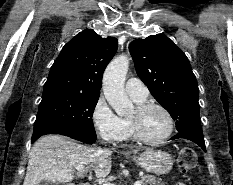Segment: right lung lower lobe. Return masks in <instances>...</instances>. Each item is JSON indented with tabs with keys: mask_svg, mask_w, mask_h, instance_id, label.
I'll return each mask as SVG.
<instances>
[{
	"mask_svg": "<svg viewBox=\"0 0 233 185\" xmlns=\"http://www.w3.org/2000/svg\"><path fill=\"white\" fill-rule=\"evenodd\" d=\"M71 138L82 141L84 143H94L96 141V137L86 135H72Z\"/></svg>",
	"mask_w": 233,
	"mask_h": 185,
	"instance_id": "98d812e1",
	"label": "right lung lower lobe"
}]
</instances>
